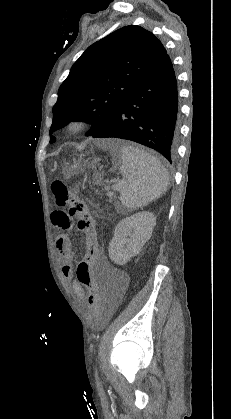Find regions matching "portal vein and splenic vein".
Returning a JSON list of instances; mask_svg holds the SVG:
<instances>
[{
  "instance_id": "obj_1",
  "label": "portal vein and splenic vein",
  "mask_w": 231,
  "mask_h": 419,
  "mask_svg": "<svg viewBox=\"0 0 231 419\" xmlns=\"http://www.w3.org/2000/svg\"><path fill=\"white\" fill-rule=\"evenodd\" d=\"M112 188H113L114 190H119V189H120V184H119V185H113V186H112Z\"/></svg>"
}]
</instances>
